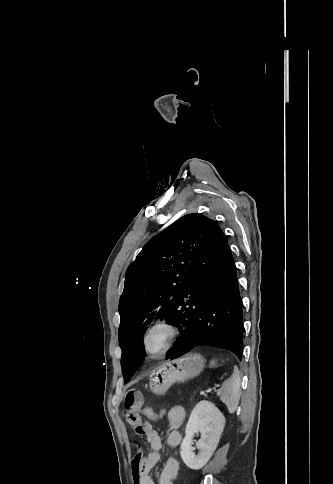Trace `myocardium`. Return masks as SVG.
<instances>
[{"mask_svg": "<svg viewBox=\"0 0 333 484\" xmlns=\"http://www.w3.org/2000/svg\"><path fill=\"white\" fill-rule=\"evenodd\" d=\"M178 335L177 326L168 318L154 321L145 330L142 337V348L146 356L155 359L163 355ZM158 336L157 344L152 347V339Z\"/></svg>", "mask_w": 333, "mask_h": 484, "instance_id": "f54148a6", "label": "myocardium"}]
</instances>
